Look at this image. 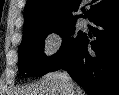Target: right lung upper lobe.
<instances>
[{
  "mask_svg": "<svg viewBox=\"0 0 119 95\" xmlns=\"http://www.w3.org/2000/svg\"><path fill=\"white\" fill-rule=\"evenodd\" d=\"M88 2L90 9L74 15L82 3ZM119 11V0H28L24 10V33L41 25L57 22H76L79 17L91 22Z\"/></svg>",
  "mask_w": 119,
  "mask_h": 95,
  "instance_id": "cb5924a9",
  "label": "right lung upper lobe"
}]
</instances>
